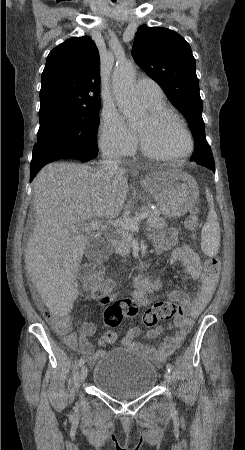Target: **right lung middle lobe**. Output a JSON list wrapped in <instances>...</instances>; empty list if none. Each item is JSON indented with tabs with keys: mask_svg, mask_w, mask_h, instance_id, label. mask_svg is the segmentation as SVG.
I'll use <instances>...</instances> for the list:
<instances>
[{
	"mask_svg": "<svg viewBox=\"0 0 245 450\" xmlns=\"http://www.w3.org/2000/svg\"><path fill=\"white\" fill-rule=\"evenodd\" d=\"M100 104L95 107H74L54 104L40 109L38 144L31 164L60 152H95V128Z\"/></svg>",
	"mask_w": 245,
	"mask_h": 450,
	"instance_id": "obj_1",
	"label": "right lung middle lobe"
}]
</instances>
